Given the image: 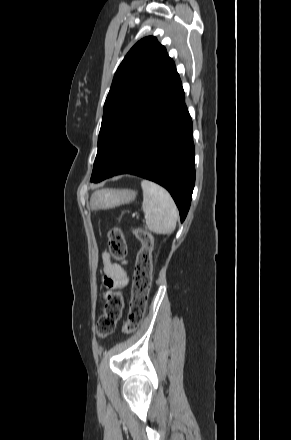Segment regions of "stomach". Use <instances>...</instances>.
Wrapping results in <instances>:
<instances>
[{
    "label": "stomach",
    "instance_id": "1",
    "mask_svg": "<svg viewBox=\"0 0 291 440\" xmlns=\"http://www.w3.org/2000/svg\"><path fill=\"white\" fill-rule=\"evenodd\" d=\"M136 192L131 189H101L95 191L90 198L92 210L111 209L134 201Z\"/></svg>",
    "mask_w": 291,
    "mask_h": 440
}]
</instances>
